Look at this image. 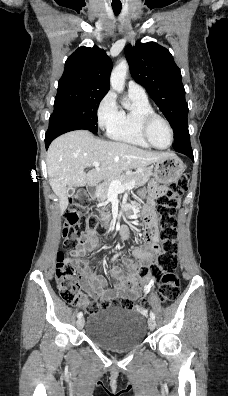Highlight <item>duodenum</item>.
<instances>
[{
  "mask_svg": "<svg viewBox=\"0 0 228 396\" xmlns=\"http://www.w3.org/2000/svg\"><path fill=\"white\" fill-rule=\"evenodd\" d=\"M89 193H90V195L94 198V197H95V193H96L95 188H92V189L89 191ZM126 214H129V210H126ZM117 220H120V217H117V218L115 219V221H117ZM112 224H113V223H109V224H107V226L110 227Z\"/></svg>",
  "mask_w": 228,
  "mask_h": 396,
  "instance_id": "410a0bca",
  "label": "duodenum"
}]
</instances>
